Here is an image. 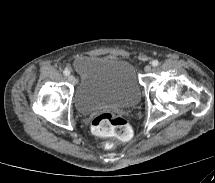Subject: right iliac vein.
Instances as JSON below:
<instances>
[{"instance_id": "right-iliac-vein-1", "label": "right iliac vein", "mask_w": 215, "mask_h": 183, "mask_svg": "<svg viewBox=\"0 0 215 183\" xmlns=\"http://www.w3.org/2000/svg\"><path fill=\"white\" fill-rule=\"evenodd\" d=\"M68 81H69L70 83L74 84V83H75V77H74L73 75H69V76H68Z\"/></svg>"}]
</instances>
